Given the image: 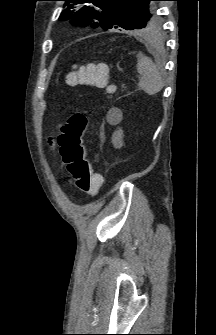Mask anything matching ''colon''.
I'll list each match as a JSON object with an SVG mask.
<instances>
[{
  "label": "colon",
  "instance_id": "1",
  "mask_svg": "<svg viewBox=\"0 0 216 335\" xmlns=\"http://www.w3.org/2000/svg\"><path fill=\"white\" fill-rule=\"evenodd\" d=\"M68 82L72 85L103 88L110 94L116 89L115 84L110 82L109 68L103 63L72 65ZM88 122V112L73 114L62 126L57 144L61 158L78 189L96 195L102 187L103 178L93 172L91 163L86 157L83 136Z\"/></svg>",
  "mask_w": 216,
  "mask_h": 335
}]
</instances>
